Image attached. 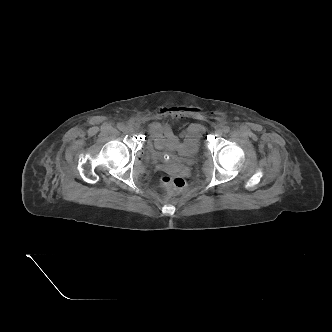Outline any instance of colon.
Returning a JSON list of instances; mask_svg holds the SVG:
<instances>
[{
  "instance_id": "5ec220e1",
  "label": "colon",
  "mask_w": 332,
  "mask_h": 332,
  "mask_svg": "<svg viewBox=\"0 0 332 332\" xmlns=\"http://www.w3.org/2000/svg\"><path fill=\"white\" fill-rule=\"evenodd\" d=\"M160 182L169 193H178L186 186V181L179 176L164 175L160 178Z\"/></svg>"
}]
</instances>
